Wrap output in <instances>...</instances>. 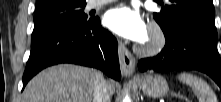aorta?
<instances>
[{"label":"aorta","mask_w":221,"mask_h":102,"mask_svg":"<svg viewBox=\"0 0 221 102\" xmlns=\"http://www.w3.org/2000/svg\"><path fill=\"white\" fill-rule=\"evenodd\" d=\"M123 102H131L130 97L128 95L125 96V98L123 99Z\"/></svg>","instance_id":"762f6f07"}]
</instances>
